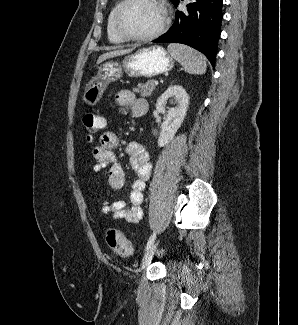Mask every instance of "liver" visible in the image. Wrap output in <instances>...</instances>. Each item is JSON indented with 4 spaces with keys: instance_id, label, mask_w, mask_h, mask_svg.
Returning a JSON list of instances; mask_svg holds the SVG:
<instances>
[{
    "instance_id": "obj_1",
    "label": "liver",
    "mask_w": 298,
    "mask_h": 325,
    "mask_svg": "<svg viewBox=\"0 0 298 325\" xmlns=\"http://www.w3.org/2000/svg\"><path fill=\"white\" fill-rule=\"evenodd\" d=\"M133 48H117V50H109V52H103L100 54L96 60V64H100L103 60H107V58H113V56H121V54H128L131 52Z\"/></svg>"
}]
</instances>
